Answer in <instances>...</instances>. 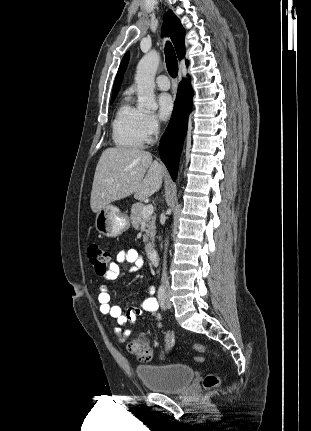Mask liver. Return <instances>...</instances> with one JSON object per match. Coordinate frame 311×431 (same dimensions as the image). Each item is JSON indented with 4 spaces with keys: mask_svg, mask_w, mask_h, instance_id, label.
Masks as SVG:
<instances>
[{
    "mask_svg": "<svg viewBox=\"0 0 311 431\" xmlns=\"http://www.w3.org/2000/svg\"><path fill=\"white\" fill-rule=\"evenodd\" d=\"M164 168L141 148H107L96 166L90 208L94 214L134 194L146 200L162 188Z\"/></svg>",
    "mask_w": 311,
    "mask_h": 431,
    "instance_id": "liver-1",
    "label": "liver"
}]
</instances>
